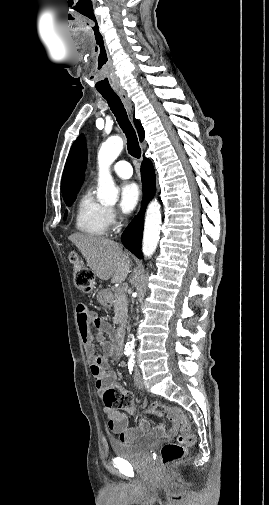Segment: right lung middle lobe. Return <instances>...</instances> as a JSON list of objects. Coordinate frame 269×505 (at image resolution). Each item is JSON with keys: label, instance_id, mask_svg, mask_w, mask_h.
I'll list each match as a JSON object with an SVG mask.
<instances>
[{"label": "right lung middle lobe", "instance_id": "right-lung-middle-lobe-1", "mask_svg": "<svg viewBox=\"0 0 269 505\" xmlns=\"http://www.w3.org/2000/svg\"><path fill=\"white\" fill-rule=\"evenodd\" d=\"M75 199H76V195H74L71 198L65 200L66 205L67 206H71L73 204V202L75 201ZM66 217H67V211H66V213L64 215V220L66 219Z\"/></svg>", "mask_w": 269, "mask_h": 505}]
</instances>
